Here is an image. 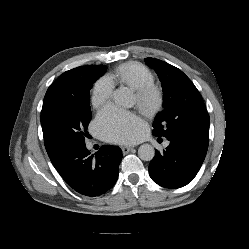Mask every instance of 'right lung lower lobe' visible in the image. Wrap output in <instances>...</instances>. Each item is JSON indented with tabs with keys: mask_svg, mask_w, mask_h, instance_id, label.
I'll return each instance as SVG.
<instances>
[{
	"mask_svg": "<svg viewBox=\"0 0 249 249\" xmlns=\"http://www.w3.org/2000/svg\"><path fill=\"white\" fill-rule=\"evenodd\" d=\"M47 153L61 177L82 195H101L118 178L122 151L117 146L104 145L95 155L90 154L85 143L59 146Z\"/></svg>",
	"mask_w": 249,
	"mask_h": 249,
	"instance_id": "98d812e1",
	"label": "right lung lower lobe"
}]
</instances>
